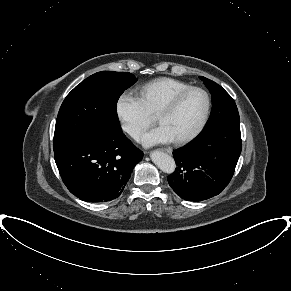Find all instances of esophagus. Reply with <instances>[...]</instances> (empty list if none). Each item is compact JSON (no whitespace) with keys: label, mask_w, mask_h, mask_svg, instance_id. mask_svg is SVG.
Masks as SVG:
<instances>
[{"label":"esophagus","mask_w":291,"mask_h":291,"mask_svg":"<svg viewBox=\"0 0 291 291\" xmlns=\"http://www.w3.org/2000/svg\"><path fill=\"white\" fill-rule=\"evenodd\" d=\"M161 150L164 151V152H166V153H169V154L172 153V151L170 149H167V148H162Z\"/></svg>","instance_id":"obj_1"}]
</instances>
